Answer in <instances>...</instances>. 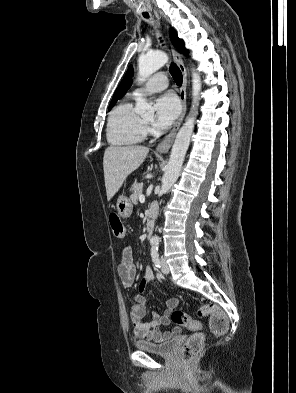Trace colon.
Returning a JSON list of instances; mask_svg holds the SVG:
<instances>
[{"label": "colon", "instance_id": "colon-1", "mask_svg": "<svg viewBox=\"0 0 296 393\" xmlns=\"http://www.w3.org/2000/svg\"><path fill=\"white\" fill-rule=\"evenodd\" d=\"M109 219L114 236L117 238L125 237V227L120 218L115 213H111ZM198 314L210 318V329L215 336H221L228 330L227 316L216 304L210 303L201 306ZM170 319L176 325L185 326L191 330L197 331V333L184 343L181 349L182 360L186 365H190L204 347V336L199 332L202 326L198 321L180 310L172 311Z\"/></svg>", "mask_w": 296, "mask_h": 393}]
</instances>
